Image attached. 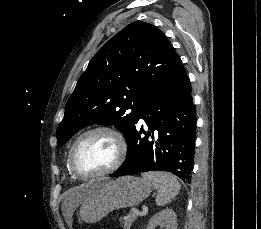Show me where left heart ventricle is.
Segmentation results:
<instances>
[{
  "mask_svg": "<svg viewBox=\"0 0 261 229\" xmlns=\"http://www.w3.org/2000/svg\"><path fill=\"white\" fill-rule=\"evenodd\" d=\"M116 156L113 139L107 134L97 133L87 137L76 149L74 164L82 172L95 173L108 169Z\"/></svg>",
  "mask_w": 261,
  "mask_h": 229,
  "instance_id": "left-heart-ventricle-1",
  "label": "left heart ventricle"
}]
</instances>
